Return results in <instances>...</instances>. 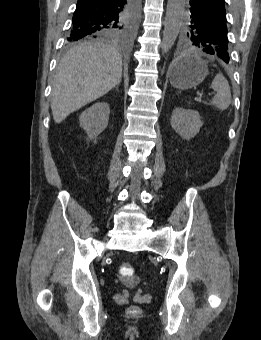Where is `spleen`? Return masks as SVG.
Returning a JSON list of instances; mask_svg holds the SVG:
<instances>
[{"instance_id":"spleen-1","label":"spleen","mask_w":261,"mask_h":340,"mask_svg":"<svg viewBox=\"0 0 261 340\" xmlns=\"http://www.w3.org/2000/svg\"><path fill=\"white\" fill-rule=\"evenodd\" d=\"M217 94L212 98V103L220 110H225L231 104V91L226 78L221 74H217L213 79L211 86Z\"/></svg>"}]
</instances>
